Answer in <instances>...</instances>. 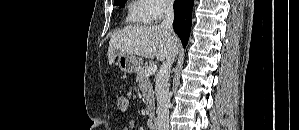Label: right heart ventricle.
I'll return each mask as SVG.
<instances>
[{"label": "right heart ventricle", "mask_w": 299, "mask_h": 130, "mask_svg": "<svg viewBox=\"0 0 299 130\" xmlns=\"http://www.w3.org/2000/svg\"><path fill=\"white\" fill-rule=\"evenodd\" d=\"M127 20L134 24H144L148 22L146 19V6L143 1L132 2Z\"/></svg>", "instance_id": "1"}]
</instances>
